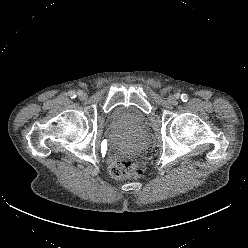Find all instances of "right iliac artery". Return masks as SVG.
<instances>
[{
	"mask_svg": "<svg viewBox=\"0 0 248 248\" xmlns=\"http://www.w3.org/2000/svg\"><path fill=\"white\" fill-rule=\"evenodd\" d=\"M76 92L75 91H71V92H69V96H70V98H75L76 97Z\"/></svg>",
	"mask_w": 248,
	"mask_h": 248,
	"instance_id": "right-iliac-artery-1",
	"label": "right iliac artery"
}]
</instances>
